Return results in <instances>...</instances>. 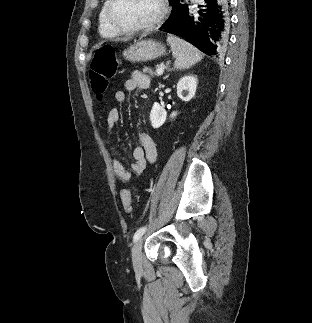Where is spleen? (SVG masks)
<instances>
[{"label": "spleen", "mask_w": 312, "mask_h": 323, "mask_svg": "<svg viewBox=\"0 0 312 323\" xmlns=\"http://www.w3.org/2000/svg\"><path fill=\"white\" fill-rule=\"evenodd\" d=\"M167 42L171 46L174 58H176L175 66L178 70H188L190 66H194L203 58L202 52L191 46L189 42L173 36V34H168Z\"/></svg>", "instance_id": "1"}]
</instances>
